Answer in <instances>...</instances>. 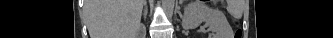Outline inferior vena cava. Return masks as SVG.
<instances>
[{"label": "inferior vena cava", "instance_id": "inferior-vena-cava-1", "mask_svg": "<svg viewBox=\"0 0 333 38\" xmlns=\"http://www.w3.org/2000/svg\"><path fill=\"white\" fill-rule=\"evenodd\" d=\"M145 3H146V0H144V5H145ZM145 14V13H144Z\"/></svg>", "mask_w": 333, "mask_h": 38}]
</instances>
